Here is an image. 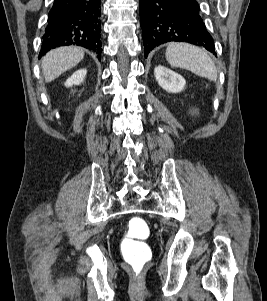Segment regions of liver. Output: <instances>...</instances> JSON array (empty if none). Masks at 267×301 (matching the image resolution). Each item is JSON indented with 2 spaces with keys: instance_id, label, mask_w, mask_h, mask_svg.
I'll return each mask as SVG.
<instances>
[{
  "instance_id": "obj_1",
  "label": "liver",
  "mask_w": 267,
  "mask_h": 301,
  "mask_svg": "<svg viewBox=\"0 0 267 301\" xmlns=\"http://www.w3.org/2000/svg\"><path fill=\"white\" fill-rule=\"evenodd\" d=\"M84 57V51L75 46L59 47L49 51L43 58L41 68L46 82L58 78L75 67Z\"/></svg>"
}]
</instances>
